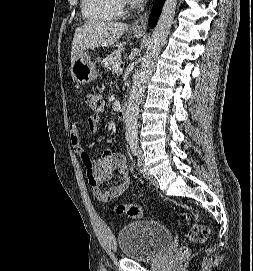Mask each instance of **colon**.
Segmentation results:
<instances>
[{
	"mask_svg": "<svg viewBox=\"0 0 253 271\" xmlns=\"http://www.w3.org/2000/svg\"><path fill=\"white\" fill-rule=\"evenodd\" d=\"M86 101L90 109L94 113H100L104 106V100L101 95L90 92L86 95ZM115 211L118 214H125L133 219H139L142 216V209L136 204H122L115 207ZM193 221L195 225L188 231L187 237L189 241L193 243L205 242L209 235V229L206 225L201 223L200 216L198 214L193 215ZM188 249L182 247L179 250V257L183 258L187 256Z\"/></svg>",
	"mask_w": 253,
	"mask_h": 271,
	"instance_id": "5ec220e1",
	"label": "colon"
}]
</instances>
